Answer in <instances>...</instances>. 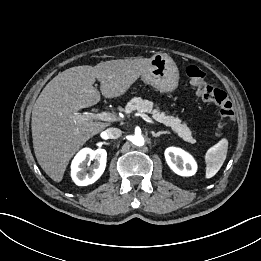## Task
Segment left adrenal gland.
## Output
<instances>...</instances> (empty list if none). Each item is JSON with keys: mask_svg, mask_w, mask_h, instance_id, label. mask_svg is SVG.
<instances>
[{"mask_svg": "<svg viewBox=\"0 0 261 261\" xmlns=\"http://www.w3.org/2000/svg\"><path fill=\"white\" fill-rule=\"evenodd\" d=\"M162 134H170V132H168V131H159L157 133L153 132V136L156 138L160 137V135H162Z\"/></svg>", "mask_w": 261, "mask_h": 261, "instance_id": "obj_1", "label": "left adrenal gland"}]
</instances>
